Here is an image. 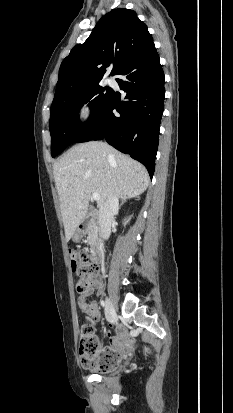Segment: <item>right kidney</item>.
Returning <instances> with one entry per match:
<instances>
[{"label":"right kidney","mask_w":233,"mask_h":413,"mask_svg":"<svg viewBox=\"0 0 233 413\" xmlns=\"http://www.w3.org/2000/svg\"><path fill=\"white\" fill-rule=\"evenodd\" d=\"M129 220H130V217L128 219H125L123 224L126 225L129 222Z\"/></svg>","instance_id":"ca27d5eb"}]
</instances>
